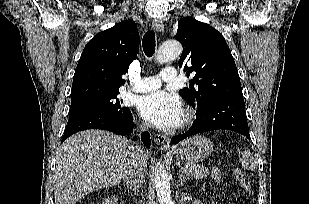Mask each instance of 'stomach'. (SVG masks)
Returning <instances> with one entry per match:
<instances>
[{
  "label": "stomach",
  "mask_w": 309,
  "mask_h": 204,
  "mask_svg": "<svg viewBox=\"0 0 309 204\" xmlns=\"http://www.w3.org/2000/svg\"><path fill=\"white\" fill-rule=\"evenodd\" d=\"M212 151V142L205 136L196 135L176 145L171 153L176 159L194 163L206 159Z\"/></svg>",
  "instance_id": "obj_1"
}]
</instances>
